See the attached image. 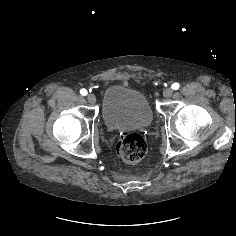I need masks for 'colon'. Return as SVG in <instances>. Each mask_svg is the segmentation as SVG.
<instances>
[{"label": "colon", "instance_id": "obj_1", "mask_svg": "<svg viewBox=\"0 0 236 236\" xmlns=\"http://www.w3.org/2000/svg\"><path fill=\"white\" fill-rule=\"evenodd\" d=\"M116 150L123 161L133 164L144 158L147 152V143L141 134L131 132L119 139Z\"/></svg>", "mask_w": 236, "mask_h": 236}]
</instances>
